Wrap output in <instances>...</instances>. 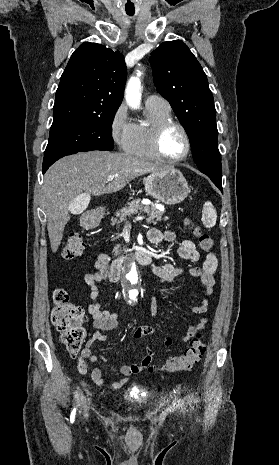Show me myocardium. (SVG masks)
<instances>
[{
    "mask_svg": "<svg viewBox=\"0 0 279 465\" xmlns=\"http://www.w3.org/2000/svg\"><path fill=\"white\" fill-rule=\"evenodd\" d=\"M170 127L178 128L181 131V133H182V135L184 137V141H185V150H184L183 154L178 156V157H173V158L172 157H167L163 153L162 148H161L162 136L165 133V131ZM151 145H152V150H153L154 154L156 155V157L158 159H160L162 161H165V162H168V163L182 162L189 156V154L191 152V139H190L188 131L186 130V128L180 122H177V121L172 120V119L165 120V121L159 123L154 128Z\"/></svg>",
    "mask_w": 279,
    "mask_h": 465,
    "instance_id": "obj_1",
    "label": "myocardium"
}]
</instances>
